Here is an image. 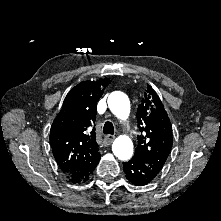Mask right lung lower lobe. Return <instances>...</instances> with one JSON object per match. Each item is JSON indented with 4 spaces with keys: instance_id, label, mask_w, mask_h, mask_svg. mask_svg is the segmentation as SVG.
<instances>
[{
    "instance_id": "1",
    "label": "right lung lower lobe",
    "mask_w": 221,
    "mask_h": 221,
    "mask_svg": "<svg viewBox=\"0 0 221 221\" xmlns=\"http://www.w3.org/2000/svg\"><path fill=\"white\" fill-rule=\"evenodd\" d=\"M101 155L97 152L84 167L80 170L68 175L67 178L73 183H84L89 180L91 174L96 168Z\"/></svg>"
}]
</instances>
